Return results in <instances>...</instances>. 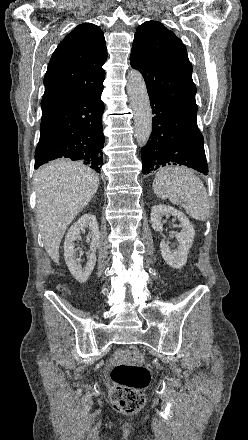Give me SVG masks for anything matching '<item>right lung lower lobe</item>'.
I'll list each match as a JSON object with an SVG mask.
<instances>
[{"label":"right lung lower lobe","instance_id":"1","mask_svg":"<svg viewBox=\"0 0 248 440\" xmlns=\"http://www.w3.org/2000/svg\"><path fill=\"white\" fill-rule=\"evenodd\" d=\"M102 91L78 95L42 110L35 169L66 157L100 172L104 147Z\"/></svg>","mask_w":248,"mask_h":440}]
</instances>
